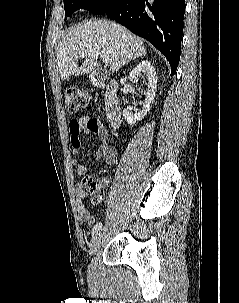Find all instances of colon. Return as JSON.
Here are the masks:
<instances>
[{
  "mask_svg": "<svg viewBox=\"0 0 239 303\" xmlns=\"http://www.w3.org/2000/svg\"><path fill=\"white\" fill-rule=\"evenodd\" d=\"M66 110L70 114H76L88 107V96L82 90L75 87H68L65 90ZM85 191L93 196V201L99 203L103 200L101 183L93 178L83 179Z\"/></svg>",
  "mask_w": 239,
  "mask_h": 303,
  "instance_id": "obj_1",
  "label": "colon"
}]
</instances>
